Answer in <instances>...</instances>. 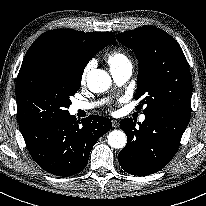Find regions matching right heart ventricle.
Returning <instances> with one entry per match:
<instances>
[{
  "label": "right heart ventricle",
  "instance_id": "right-heart-ventricle-1",
  "mask_svg": "<svg viewBox=\"0 0 206 206\" xmlns=\"http://www.w3.org/2000/svg\"><path fill=\"white\" fill-rule=\"evenodd\" d=\"M106 60L110 66V70L127 64L131 65L128 54L123 50L112 51L107 55Z\"/></svg>",
  "mask_w": 206,
  "mask_h": 206
}]
</instances>
